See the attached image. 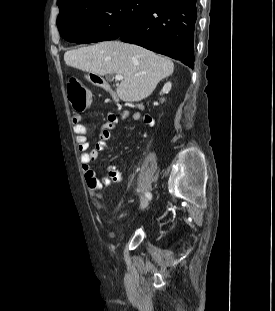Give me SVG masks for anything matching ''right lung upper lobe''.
I'll return each instance as SVG.
<instances>
[{"label":"right lung upper lobe","instance_id":"cb5924a9","mask_svg":"<svg viewBox=\"0 0 275 311\" xmlns=\"http://www.w3.org/2000/svg\"><path fill=\"white\" fill-rule=\"evenodd\" d=\"M70 0H57L58 6Z\"/></svg>","mask_w":275,"mask_h":311}]
</instances>
